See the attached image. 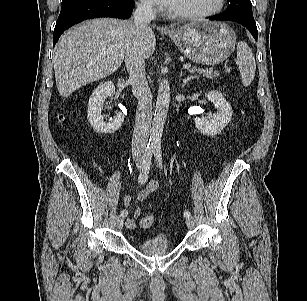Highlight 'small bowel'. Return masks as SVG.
<instances>
[{"label":"small bowel","mask_w":307,"mask_h":301,"mask_svg":"<svg viewBox=\"0 0 307 301\" xmlns=\"http://www.w3.org/2000/svg\"><path fill=\"white\" fill-rule=\"evenodd\" d=\"M157 190H158V183L155 182V181H150L135 197H132L130 195H124L123 198H122V202H123L125 207H128L132 204V202L134 200L143 201L149 195L153 194ZM140 214H141V209L136 208L134 213H133V217L128 218L125 221V225L128 228H134L136 226V219L140 216Z\"/></svg>","instance_id":"obj_1"}]
</instances>
